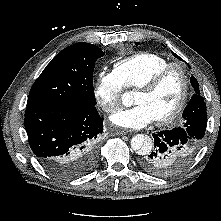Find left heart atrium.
I'll return each instance as SVG.
<instances>
[{"instance_id": "obj_1", "label": "left heart atrium", "mask_w": 221, "mask_h": 221, "mask_svg": "<svg viewBox=\"0 0 221 221\" xmlns=\"http://www.w3.org/2000/svg\"><path fill=\"white\" fill-rule=\"evenodd\" d=\"M110 120L119 127L140 129L155 119L146 106L139 104L128 109L117 111L110 117Z\"/></svg>"}]
</instances>
